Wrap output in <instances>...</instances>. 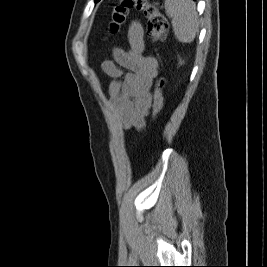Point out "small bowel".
Here are the masks:
<instances>
[{"mask_svg": "<svg viewBox=\"0 0 267 267\" xmlns=\"http://www.w3.org/2000/svg\"><path fill=\"white\" fill-rule=\"evenodd\" d=\"M128 48H115L113 60L106 59L101 67L112 78L109 102L118 122L125 129L141 130L152 103L150 88L158 75V62L146 55L144 29L132 22L128 30Z\"/></svg>", "mask_w": 267, "mask_h": 267, "instance_id": "small-bowel-1", "label": "small bowel"}]
</instances>
